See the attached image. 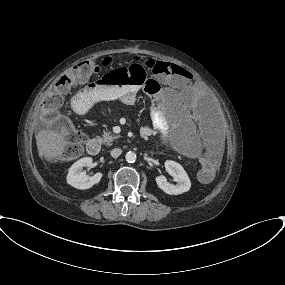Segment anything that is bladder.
Listing matches in <instances>:
<instances>
[{
	"label": "bladder",
	"instance_id": "31cf9c89",
	"mask_svg": "<svg viewBox=\"0 0 285 285\" xmlns=\"http://www.w3.org/2000/svg\"><path fill=\"white\" fill-rule=\"evenodd\" d=\"M176 151L180 154H191L195 152V148L187 141L179 140L174 143Z\"/></svg>",
	"mask_w": 285,
	"mask_h": 285
}]
</instances>
